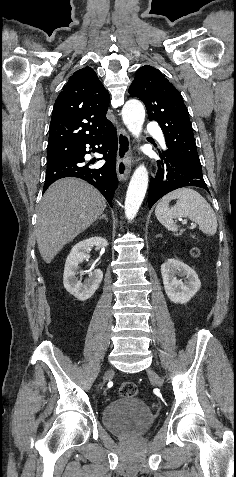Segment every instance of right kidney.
Masks as SVG:
<instances>
[{
    "label": "right kidney",
    "mask_w": 236,
    "mask_h": 477,
    "mask_svg": "<svg viewBox=\"0 0 236 477\" xmlns=\"http://www.w3.org/2000/svg\"><path fill=\"white\" fill-rule=\"evenodd\" d=\"M93 246H95L96 250H100L106 248L108 242L101 237H92L81 241L73 246L65 262L63 276L64 287L70 294L81 301H85L92 297L103 278V273L100 269L90 272L89 278L84 282L77 277V274H83L81 271L78 272L79 265L88 258L90 248Z\"/></svg>",
    "instance_id": "1"
}]
</instances>
